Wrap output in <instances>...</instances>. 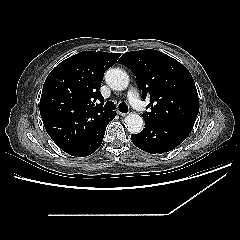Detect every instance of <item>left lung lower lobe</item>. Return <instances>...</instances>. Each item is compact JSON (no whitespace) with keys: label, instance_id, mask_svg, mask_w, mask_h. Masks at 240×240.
<instances>
[{"label":"left lung lower lobe","instance_id":"left-lung-lower-lobe-1","mask_svg":"<svg viewBox=\"0 0 240 240\" xmlns=\"http://www.w3.org/2000/svg\"><path fill=\"white\" fill-rule=\"evenodd\" d=\"M195 122L172 121L153 122L145 120V128L131 135L135 146L151 154L173 150L191 133Z\"/></svg>","mask_w":240,"mask_h":240}]
</instances>
